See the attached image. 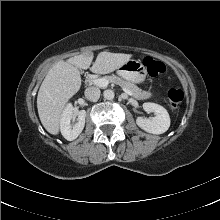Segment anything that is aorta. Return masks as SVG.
I'll return each instance as SVG.
<instances>
[{
  "mask_svg": "<svg viewBox=\"0 0 220 220\" xmlns=\"http://www.w3.org/2000/svg\"><path fill=\"white\" fill-rule=\"evenodd\" d=\"M103 96L106 100H113L115 94L112 90L108 89L104 91Z\"/></svg>",
  "mask_w": 220,
  "mask_h": 220,
  "instance_id": "1",
  "label": "aorta"
}]
</instances>
